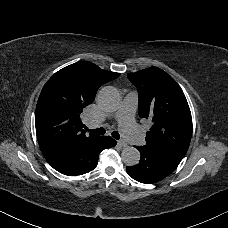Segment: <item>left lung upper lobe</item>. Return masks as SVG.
Listing matches in <instances>:
<instances>
[{
    "label": "left lung upper lobe",
    "mask_w": 228,
    "mask_h": 228,
    "mask_svg": "<svg viewBox=\"0 0 228 228\" xmlns=\"http://www.w3.org/2000/svg\"><path fill=\"white\" fill-rule=\"evenodd\" d=\"M139 94V116L152 121L146 145L185 156L192 136V118L186 97L165 71L150 67L129 73Z\"/></svg>",
    "instance_id": "left-lung-upper-lobe-1"
}]
</instances>
